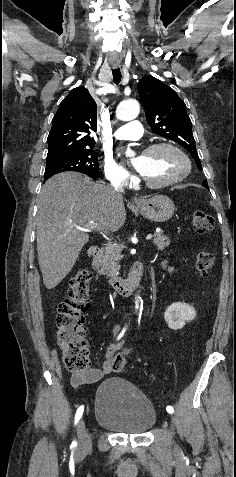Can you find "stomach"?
I'll return each instance as SVG.
<instances>
[{"label": "stomach", "mask_w": 236, "mask_h": 477, "mask_svg": "<svg viewBox=\"0 0 236 477\" xmlns=\"http://www.w3.org/2000/svg\"><path fill=\"white\" fill-rule=\"evenodd\" d=\"M137 207L142 216L156 223L168 221L175 211L173 201L165 195L143 199Z\"/></svg>", "instance_id": "obj_1"}]
</instances>
